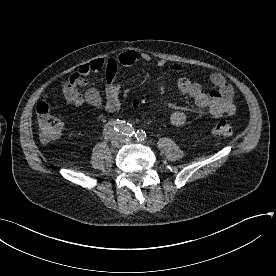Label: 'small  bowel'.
<instances>
[{"label":"small bowel","instance_id":"1","mask_svg":"<svg viewBox=\"0 0 276 276\" xmlns=\"http://www.w3.org/2000/svg\"><path fill=\"white\" fill-rule=\"evenodd\" d=\"M150 62L151 56L147 53L128 50L120 53L117 57L97 58L79 66L62 84L65 100L76 107L88 104L93 108L112 113L120 108V91L114 84V79L120 66L129 67L138 62ZM157 67L165 66L163 60L156 63ZM175 71L182 68L179 65L171 67ZM104 72L105 91L102 97L99 90L90 86L86 77L93 73ZM210 83L215 89L205 92L203 85L193 82L189 78L182 77L177 82L178 90L190 97L199 108H206L215 116H232L236 112L234 104V90L226 79L219 73L211 74ZM81 89H85L84 92ZM47 102L46 98L42 99ZM187 120V114L183 110H176L171 114L170 121L174 126H182Z\"/></svg>","mask_w":276,"mask_h":276}]
</instances>
